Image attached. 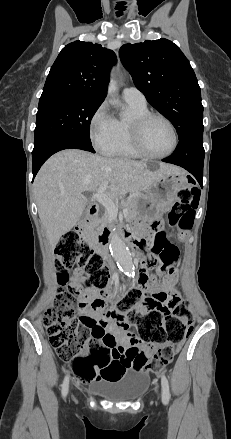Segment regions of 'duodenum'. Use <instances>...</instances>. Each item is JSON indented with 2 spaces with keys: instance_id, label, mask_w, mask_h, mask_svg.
<instances>
[{
  "instance_id": "1",
  "label": "duodenum",
  "mask_w": 231,
  "mask_h": 439,
  "mask_svg": "<svg viewBox=\"0 0 231 439\" xmlns=\"http://www.w3.org/2000/svg\"><path fill=\"white\" fill-rule=\"evenodd\" d=\"M89 213H90V218L86 219L85 223L80 227V230H81L82 232H84V233H87V232H88L89 225L92 223L94 217H95L96 214H97V206H96L95 203H91V204H89ZM111 234H112V232H111L110 230H108V229H104V230L100 233V235L98 236L97 243H98L99 247H100L102 250H104V249L107 247V245H108V240H109V237L111 236ZM124 237H125L126 241L132 243V245H133L134 247H138V246H139V244L137 243V241L134 240V239L131 237V233H130V232H126V233L124 234Z\"/></svg>"
}]
</instances>
